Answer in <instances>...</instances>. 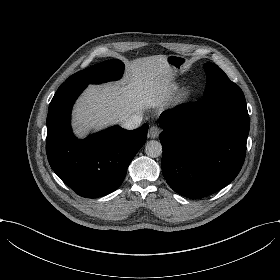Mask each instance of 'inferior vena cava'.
Instances as JSON below:
<instances>
[{"label": "inferior vena cava", "instance_id": "obj_1", "mask_svg": "<svg viewBox=\"0 0 280 280\" xmlns=\"http://www.w3.org/2000/svg\"><path fill=\"white\" fill-rule=\"evenodd\" d=\"M142 122V116L134 114L130 116L128 119H126L123 123L122 126L126 129L132 130L136 129L140 126Z\"/></svg>", "mask_w": 280, "mask_h": 280}]
</instances>
